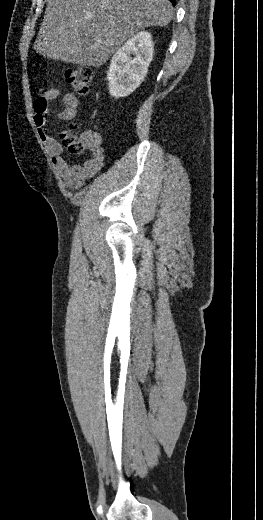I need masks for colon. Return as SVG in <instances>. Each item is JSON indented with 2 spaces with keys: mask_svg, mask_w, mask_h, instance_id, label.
Segmentation results:
<instances>
[{
  "mask_svg": "<svg viewBox=\"0 0 263 520\" xmlns=\"http://www.w3.org/2000/svg\"><path fill=\"white\" fill-rule=\"evenodd\" d=\"M64 78L77 94L86 95L89 93L93 82V72L87 67L69 68L65 70ZM75 128L76 125L73 124L71 130ZM71 130L61 135L63 146L73 154H82L87 150L93 152L91 145L83 137L72 134Z\"/></svg>",
  "mask_w": 263,
  "mask_h": 520,
  "instance_id": "colon-1",
  "label": "colon"
}]
</instances>
